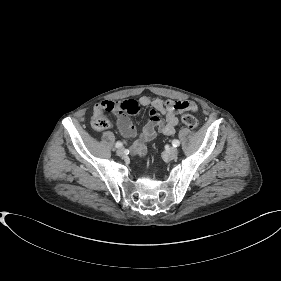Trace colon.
Instances as JSON below:
<instances>
[{"mask_svg":"<svg viewBox=\"0 0 281 281\" xmlns=\"http://www.w3.org/2000/svg\"><path fill=\"white\" fill-rule=\"evenodd\" d=\"M187 108L195 109V107L191 103H186L184 105ZM114 107L109 106L105 108L103 111L96 112L92 119H91V125L95 130H105L109 127L110 123L109 120L106 117V112H113ZM182 123L189 129L195 130L198 127V121L197 119L190 114H185L181 118Z\"/></svg>","mask_w":281,"mask_h":281,"instance_id":"obj_1","label":"colon"}]
</instances>
